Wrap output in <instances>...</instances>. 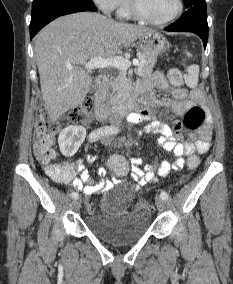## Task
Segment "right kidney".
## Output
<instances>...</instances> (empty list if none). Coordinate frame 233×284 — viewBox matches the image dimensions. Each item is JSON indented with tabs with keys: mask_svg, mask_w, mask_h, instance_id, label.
I'll return each mask as SVG.
<instances>
[{
	"mask_svg": "<svg viewBox=\"0 0 233 284\" xmlns=\"http://www.w3.org/2000/svg\"><path fill=\"white\" fill-rule=\"evenodd\" d=\"M86 137V129L82 126L72 125L63 129L58 137L61 153L66 157L73 156Z\"/></svg>",
	"mask_w": 233,
	"mask_h": 284,
	"instance_id": "ca27d5eb",
	"label": "right kidney"
}]
</instances>
